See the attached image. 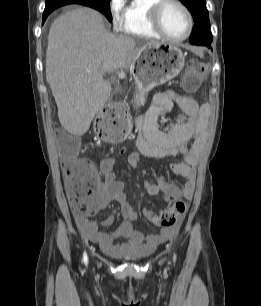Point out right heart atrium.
<instances>
[{
  "label": "right heart atrium",
  "mask_w": 261,
  "mask_h": 306,
  "mask_svg": "<svg viewBox=\"0 0 261 306\" xmlns=\"http://www.w3.org/2000/svg\"><path fill=\"white\" fill-rule=\"evenodd\" d=\"M123 0H110L109 12L112 24L115 28H120L123 21Z\"/></svg>",
  "instance_id": "obj_1"
}]
</instances>
